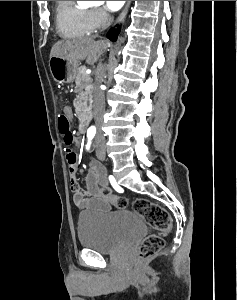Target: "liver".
<instances>
[{"label": "liver", "instance_id": "6515ba94", "mask_svg": "<svg viewBox=\"0 0 237 300\" xmlns=\"http://www.w3.org/2000/svg\"><path fill=\"white\" fill-rule=\"evenodd\" d=\"M107 47L108 41H94L93 37H84L78 41H57L51 49L50 57H63L77 63L86 59L88 65H94Z\"/></svg>", "mask_w": 237, "mask_h": 300}]
</instances>
